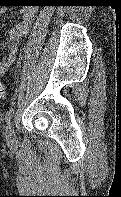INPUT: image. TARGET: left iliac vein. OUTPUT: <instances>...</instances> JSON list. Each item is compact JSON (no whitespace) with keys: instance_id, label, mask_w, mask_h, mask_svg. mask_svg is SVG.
<instances>
[{"instance_id":"1","label":"left iliac vein","mask_w":121,"mask_h":197,"mask_svg":"<svg viewBox=\"0 0 121 197\" xmlns=\"http://www.w3.org/2000/svg\"><path fill=\"white\" fill-rule=\"evenodd\" d=\"M6 140L8 144L16 143V135H15L14 125L12 122H9L6 127Z\"/></svg>"}]
</instances>
